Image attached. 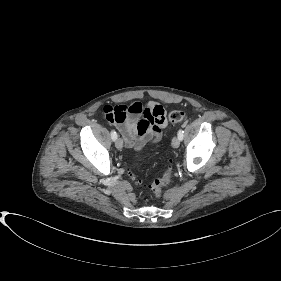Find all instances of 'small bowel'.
I'll return each instance as SVG.
<instances>
[{"instance_id":"1","label":"small bowel","mask_w":281,"mask_h":281,"mask_svg":"<svg viewBox=\"0 0 281 281\" xmlns=\"http://www.w3.org/2000/svg\"><path fill=\"white\" fill-rule=\"evenodd\" d=\"M110 122L118 128L129 148L140 149L160 139L161 130L166 126V111L153 101L145 106L139 103V111L129 113L123 122Z\"/></svg>"}]
</instances>
